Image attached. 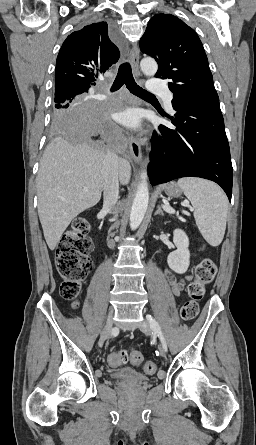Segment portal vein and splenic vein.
Listing matches in <instances>:
<instances>
[{"label":"portal vein and splenic vein","instance_id":"portal-vein-and-splenic-vein-1","mask_svg":"<svg viewBox=\"0 0 256 445\" xmlns=\"http://www.w3.org/2000/svg\"><path fill=\"white\" fill-rule=\"evenodd\" d=\"M88 191V189L87 188H84V192H87ZM185 206H189V202L188 201H184V203H183ZM163 208H164V210L166 211V212H168V213H175V210L172 208V207H170L169 206V204L168 203H164V205H163Z\"/></svg>","mask_w":256,"mask_h":445}]
</instances>
